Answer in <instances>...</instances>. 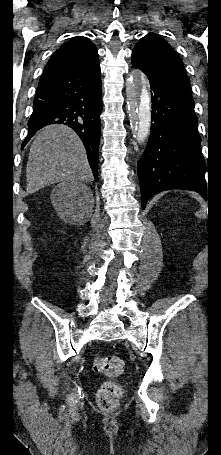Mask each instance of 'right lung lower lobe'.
Segmentation results:
<instances>
[{
    "instance_id": "right-lung-lower-lobe-1",
    "label": "right lung lower lobe",
    "mask_w": 221,
    "mask_h": 455,
    "mask_svg": "<svg viewBox=\"0 0 221 455\" xmlns=\"http://www.w3.org/2000/svg\"><path fill=\"white\" fill-rule=\"evenodd\" d=\"M101 111L98 53L87 54L41 77L23 146L46 125H68L81 138L94 178L98 181Z\"/></svg>"
}]
</instances>
